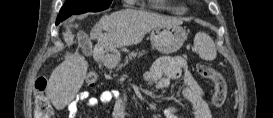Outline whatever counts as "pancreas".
I'll list each match as a JSON object with an SVG mask.
<instances>
[{
    "label": "pancreas",
    "mask_w": 273,
    "mask_h": 118,
    "mask_svg": "<svg viewBox=\"0 0 273 118\" xmlns=\"http://www.w3.org/2000/svg\"><path fill=\"white\" fill-rule=\"evenodd\" d=\"M144 53H145L144 51H143V52H140L139 54H138L137 52H131V53L129 54V56L125 58L124 64L119 65V68H118V69H121L123 66H125V65L128 63L129 60H132V59L135 58L137 55L142 56Z\"/></svg>",
    "instance_id": "pancreas-1"
}]
</instances>
